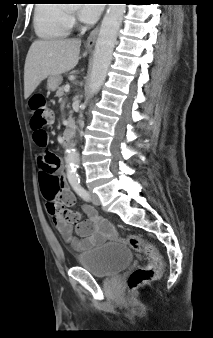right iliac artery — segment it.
Here are the masks:
<instances>
[{"label":"right iliac artery","instance_id":"right-iliac-artery-1","mask_svg":"<svg viewBox=\"0 0 213 338\" xmlns=\"http://www.w3.org/2000/svg\"><path fill=\"white\" fill-rule=\"evenodd\" d=\"M77 183H78V182H76V183L72 184V186H73V185H75V184H77Z\"/></svg>","mask_w":213,"mask_h":338}]
</instances>
